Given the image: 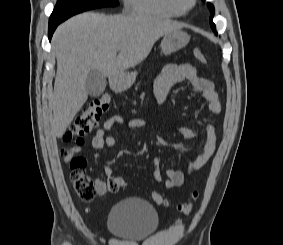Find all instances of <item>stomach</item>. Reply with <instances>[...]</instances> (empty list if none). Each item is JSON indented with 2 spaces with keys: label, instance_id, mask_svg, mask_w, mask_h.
I'll return each mask as SVG.
<instances>
[{
  "label": "stomach",
  "instance_id": "obj_1",
  "mask_svg": "<svg viewBox=\"0 0 283 245\" xmlns=\"http://www.w3.org/2000/svg\"><path fill=\"white\" fill-rule=\"evenodd\" d=\"M189 36L187 33L177 30L164 35L161 41L162 52L165 55L174 53L187 45ZM137 73H123L115 79V86L120 89L130 87L136 78Z\"/></svg>",
  "mask_w": 283,
  "mask_h": 245
}]
</instances>
